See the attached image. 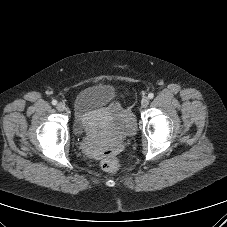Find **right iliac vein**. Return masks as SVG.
Returning <instances> with one entry per match:
<instances>
[{"mask_svg": "<svg viewBox=\"0 0 227 227\" xmlns=\"http://www.w3.org/2000/svg\"><path fill=\"white\" fill-rule=\"evenodd\" d=\"M58 111H64L65 110V105L63 103H58L56 106Z\"/></svg>", "mask_w": 227, "mask_h": 227, "instance_id": "right-iliac-vein-1", "label": "right iliac vein"}]
</instances>
